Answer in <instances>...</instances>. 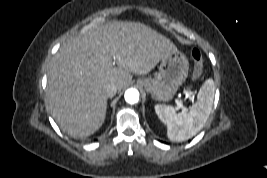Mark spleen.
Wrapping results in <instances>:
<instances>
[{"label":"spleen","instance_id":"3e777b00","mask_svg":"<svg viewBox=\"0 0 267 178\" xmlns=\"http://www.w3.org/2000/svg\"><path fill=\"white\" fill-rule=\"evenodd\" d=\"M214 94V81L207 79L200 88L197 102L192 105L190 111L177 114L172 106L155 105L157 116L167 125V137L173 142H181L195 136L204 127L211 113Z\"/></svg>","mask_w":267,"mask_h":178}]
</instances>
